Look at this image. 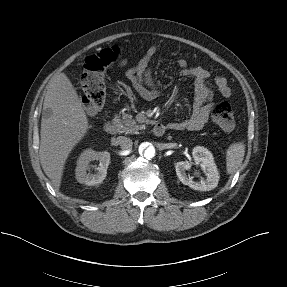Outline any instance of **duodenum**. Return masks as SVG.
Segmentation results:
<instances>
[{
    "mask_svg": "<svg viewBox=\"0 0 287 287\" xmlns=\"http://www.w3.org/2000/svg\"><path fill=\"white\" fill-rule=\"evenodd\" d=\"M104 129L108 134L118 133V126L112 120H108L105 122ZM153 133L155 136H158V137L162 136L165 133V126L161 123H156L153 127Z\"/></svg>",
    "mask_w": 287,
    "mask_h": 287,
    "instance_id": "duodenum-1",
    "label": "duodenum"
}]
</instances>
